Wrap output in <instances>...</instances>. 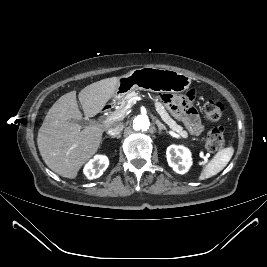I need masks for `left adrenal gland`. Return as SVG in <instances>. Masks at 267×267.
<instances>
[{
	"mask_svg": "<svg viewBox=\"0 0 267 267\" xmlns=\"http://www.w3.org/2000/svg\"><path fill=\"white\" fill-rule=\"evenodd\" d=\"M156 124L158 126L159 132H161L162 130H165L167 132L166 126L163 123H161L159 120H156Z\"/></svg>",
	"mask_w": 267,
	"mask_h": 267,
	"instance_id": "1",
	"label": "left adrenal gland"
}]
</instances>
